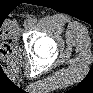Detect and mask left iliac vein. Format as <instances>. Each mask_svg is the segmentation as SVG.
Here are the masks:
<instances>
[{"label": "left iliac vein", "instance_id": "1", "mask_svg": "<svg viewBox=\"0 0 93 93\" xmlns=\"http://www.w3.org/2000/svg\"><path fill=\"white\" fill-rule=\"evenodd\" d=\"M32 26V22L30 20L26 21L24 23V27L27 29V28H30Z\"/></svg>", "mask_w": 93, "mask_h": 93}]
</instances>
